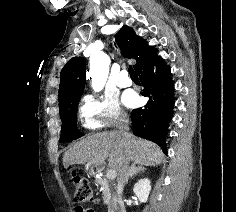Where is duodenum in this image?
<instances>
[{
    "instance_id": "duodenum-1",
    "label": "duodenum",
    "mask_w": 236,
    "mask_h": 212,
    "mask_svg": "<svg viewBox=\"0 0 236 212\" xmlns=\"http://www.w3.org/2000/svg\"><path fill=\"white\" fill-rule=\"evenodd\" d=\"M109 212H126V206L123 200L121 198L116 199L112 203Z\"/></svg>"
}]
</instances>
